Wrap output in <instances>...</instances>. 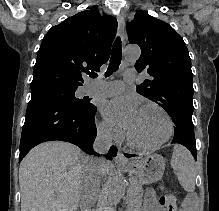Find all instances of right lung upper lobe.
<instances>
[{"mask_svg":"<svg viewBox=\"0 0 219 211\" xmlns=\"http://www.w3.org/2000/svg\"><path fill=\"white\" fill-rule=\"evenodd\" d=\"M116 30L117 20L101 16L97 9L79 12L52 27L38 51L31 90L82 86L88 70L108 61Z\"/></svg>","mask_w":219,"mask_h":211,"instance_id":"1","label":"right lung upper lobe"}]
</instances>
